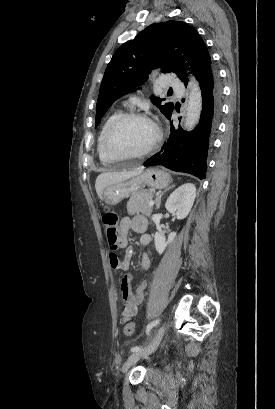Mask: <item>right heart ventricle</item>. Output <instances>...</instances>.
Segmentation results:
<instances>
[{"mask_svg":"<svg viewBox=\"0 0 275 409\" xmlns=\"http://www.w3.org/2000/svg\"><path fill=\"white\" fill-rule=\"evenodd\" d=\"M121 115L120 112H116L114 114H112L103 124V126L101 127V130L99 132V136H98V140H97V151H98V155L99 157H105V155L103 154V142H104V138L105 135L111 125V123L119 116Z\"/></svg>","mask_w":275,"mask_h":409,"instance_id":"e07e8e85","label":"right heart ventricle"}]
</instances>
